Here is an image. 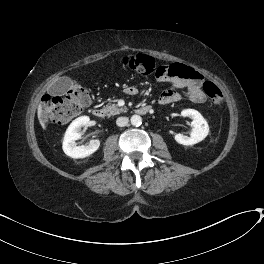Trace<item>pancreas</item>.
I'll return each mask as SVG.
<instances>
[{
	"label": "pancreas",
	"instance_id": "1",
	"mask_svg": "<svg viewBox=\"0 0 264 264\" xmlns=\"http://www.w3.org/2000/svg\"><path fill=\"white\" fill-rule=\"evenodd\" d=\"M103 111L106 113L107 116H113L124 112L125 108H120L116 104H108L106 105V107H104Z\"/></svg>",
	"mask_w": 264,
	"mask_h": 264
}]
</instances>
